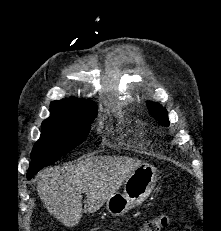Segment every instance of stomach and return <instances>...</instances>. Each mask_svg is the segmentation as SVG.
<instances>
[{
    "mask_svg": "<svg viewBox=\"0 0 221 231\" xmlns=\"http://www.w3.org/2000/svg\"><path fill=\"white\" fill-rule=\"evenodd\" d=\"M157 169L149 164L136 168L125 180L123 193L116 192L106 202L108 212L120 216L142 203L152 192L157 181Z\"/></svg>",
    "mask_w": 221,
    "mask_h": 231,
    "instance_id": "stomach-1",
    "label": "stomach"
}]
</instances>
